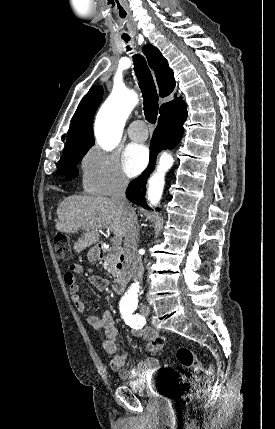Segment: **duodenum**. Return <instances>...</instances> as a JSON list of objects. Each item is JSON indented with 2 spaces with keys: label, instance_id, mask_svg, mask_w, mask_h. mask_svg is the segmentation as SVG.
<instances>
[{
  "label": "duodenum",
  "instance_id": "410a0bca",
  "mask_svg": "<svg viewBox=\"0 0 275 429\" xmlns=\"http://www.w3.org/2000/svg\"><path fill=\"white\" fill-rule=\"evenodd\" d=\"M96 251H97V255H98V257L100 259H105V258H107V257H109V256H111L112 254L115 253L114 251H112L109 248L105 247L103 244H98L97 248H96ZM116 254H118L120 260L123 261V254H122V252H118ZM126 284H127V275H126L125 272H123L121 270V272L114 279L113 284H112V288H113V290H114L115 293L121 294V293L124 292Z\"/></svg>",
  "mask_w": 275,
  "mask_h": 429
}]
</instances>
